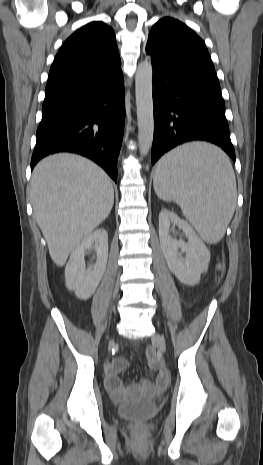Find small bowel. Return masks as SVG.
I'll list each match as a JSON object with an SVG mask.
<instances>
[{
  "instance_id": "small-bowel-1",
  "label": "small bowel",
  "mask_w": 263,
  "mask_h": 465,
  "mask_svg": "<svg viewBox=\"0 0 263 465\" xmlns=\"http://www.w3.org/2000/svg\"><path fill=\"white\" fill-rule=\"evenodd\" d=\"M126 360L119 358L106 365V387L113 398L121 400L130 395L156 394L161 392L167 383V373L160 369L155 383L144 380L141 385L125 387L119 376L120 372L127 367Z\"/></svg>"
}]
</instances>
